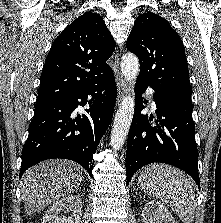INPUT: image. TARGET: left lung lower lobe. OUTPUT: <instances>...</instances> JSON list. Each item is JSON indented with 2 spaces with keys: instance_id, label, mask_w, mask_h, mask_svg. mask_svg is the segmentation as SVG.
Returning <instances> with one entry per match:
<instances>
[{
  "instance_id": "0a47b994",
  "label": "left lung lower lobe",
  "mask_w": 221,
  "mask_h": 223,
  "mask_svg": "<svg viewBox=\"0 0 221 223\" xmlns=\"http://www.w3.org/2000/svg\"><path fill=\"white\" fill-rule=\"evenodd\" d=\"M149 85L135 84V114L128 135L126 174L128 185L134 173L143 166L167 163L187 172L200 188L198 175V149L195 143V125L192 119L193 104L161 91H155L156 126L153 117L141 114L144 109L142 93Z\"/></svg>"
}]
</instances>
